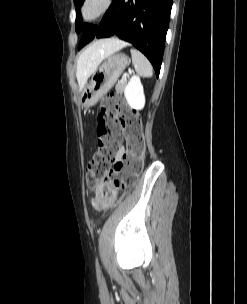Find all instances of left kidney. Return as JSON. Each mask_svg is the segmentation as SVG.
<instances>
[{"mask_svg":"<svg viewBox=\"0 0 247 304\" xmlns=\"http://www.w3.org/2000/svg\"><path fill=\"white\" fill-rule=\"evenodd\" d=\"M124 95L129 106L135 110H141L145 105L143 85L137 75L131 77L124 90Z\"/></svg>","mask_w":247,"mask_h":304,"instance_id":"obj_1","label":"left kidney"}]
</instances>
